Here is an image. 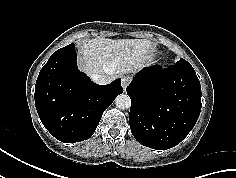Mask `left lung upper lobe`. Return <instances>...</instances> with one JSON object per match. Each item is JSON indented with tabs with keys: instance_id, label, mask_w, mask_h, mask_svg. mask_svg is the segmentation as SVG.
Instances as JSON below:
<instances>
[{
	"instance_id": "1",
	"label": "left lung upper lobe",
	"mask_w": 236,
	"mask_h": 178,
	"mask_svg": "<svg viewBox=\"0 0 236 178\" xmlns=\"http://www.w3.org/2000/svg\"><path fill=\"white\" fill-rule=\"evenodd\" d=\"M188 62L184 59H180L176 64H187Z\"/></svg>"
}]
</instances>
